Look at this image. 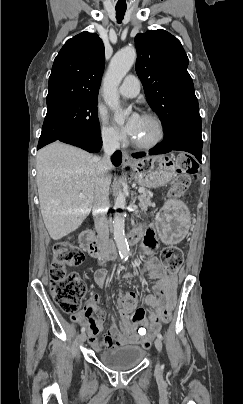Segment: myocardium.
I'll return each instance as SVG.
<instances>
[{
  "instance_id": "obj_1",
  "label": "myocardium",
  "mask_w": 243,
  "mask_h": 404,
  "mask_svg": "<svg viewBox=\"0 0 243 404\" xmlns=\"http://www.w3.org/2000/svg\"><path fill=\"white\" fill-rule=\"evenodd\" d=\"M126 34H134L135 35L136 32L124 33V35H126ZM143 117L152 119L156 123L157 128H158V135L151 142L143 143V142H137L135 140H132V144L137 149H143V150L154 149L157 146H159L164 141V139L166 137L165 123H164L163 119L158 114L153 113V112H146V113L143 114Z\"/></svg>"
}]
</instances>
